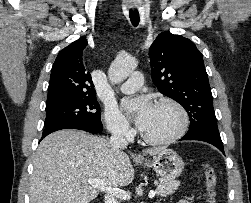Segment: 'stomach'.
I'll return each instance as SVG.
<instances>
[{
    "instance_id": "1",
    "label": "stomach",
    "mask_w": 251,
    "mask_h": 203,
    "mask_svg": "<svg viewBox=\"0 0 251 203\" xmlns=\"http://www.w3.org/2000/svg\"><path fill=\"white\" fill-rule=\"evenodd\" d=\"M146 164L165 179L177 178L185 166L182 158L175 151L166 148L154 155L152 160L146 161Z\"/></svg>"
}]
</instances>
